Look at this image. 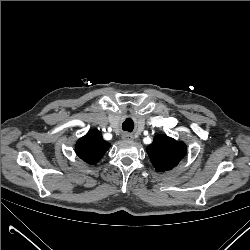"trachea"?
Returning a JSON list of instances; mask_svg holds the SVG:
<instances>
[{"label":"trachea","mask_w":250,"mask_h":250,"mask_svg":"<svg viewBox=\"0 0 250 250\" xmlns=\"http://www.w3.org/2000/svg\"><path fill=\"white\" fill-rule=\"evenodd\" d=\"M122 128H123V130H125V131L132 132V131H133V128H134V123H133L132 119L127 118V119L123 122Z\"/></svg>","instance_id":"3493384b"}]
</instances>
